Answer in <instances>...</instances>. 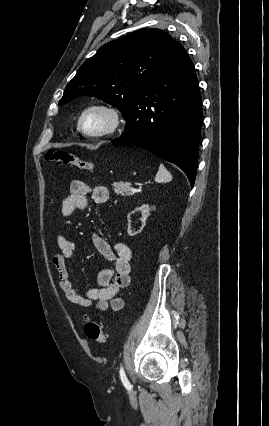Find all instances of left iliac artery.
<instances>
[{
  "label": "left iliac artery",
  "mask_w": 269,
  "mask_h": 426,
  "mask_svg": "<svg viewBox=\"0 0 269 426\" xmlns=\"http://www.w3.org/2000/svg\"><path fill=\"white\" fill-rule=\"evenodd\" d=\"M119 373H120V378H121L123 385L125 386L126 389L130 390L132 388V386H131L129 380L127 379V377H126L123 366L120 367Z\"/></svg>",
  "instance_id": "left-iliac-artery-1"
}]
</instances>
